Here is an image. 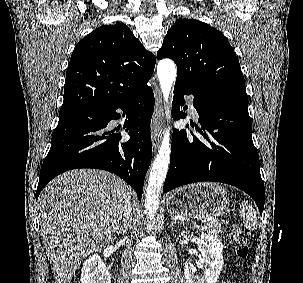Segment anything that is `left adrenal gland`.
<instances>
[{
	"label": "left adrenal gland",
	"instance_id": "obj_1",
	"mask_svg": "<svg viewBox=\"0 0 303 283\" xmlns=\"http://www.w3.org/2000/svg\"><path fill=\"white\" fill-rule=\"evenodd\" d=\"M178 223V220L176 218L172 219L171 225Z\"/></svg>",
	"mask_w": 303,
	"mask_h": 283
}]
</instances>
